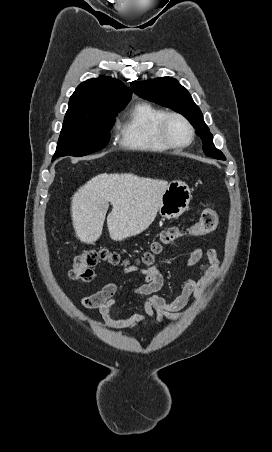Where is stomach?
I'll return each instance as SVG.
<instances>
[{
    "label": "stomach",
    "mask_w": 272,
    "mask_h": 452,
    "mask_svg": "<svg viewBox=\"0 0 272 452\" xmlns=\"http://www.w3.org/2000/svg\"><path fill=\"white\" fill-rule=\"evenodd\" d=\"M192 198L189 186L180 180L170 182L158 208L163 219H175L186 211Z\"/></svg>",
    "instance_id": "1"
}]
</instances>
